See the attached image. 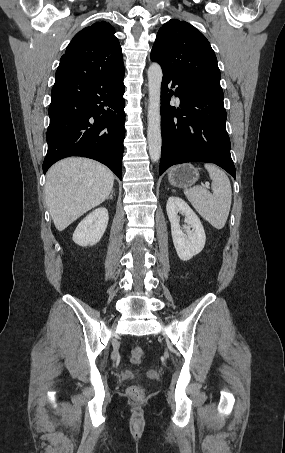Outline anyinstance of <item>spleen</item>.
Returning <instances> with one entry per match:
<instances>
[{
	"instance_id": "3e777b00",
	"label": "spleen",
	"mask_w": 285,
	"mask_h": 453,
	"mask_svg": "<svg viewBox=\"0 0 285 453\" xmlns=\"http://www.w3.org/2000/svg\"><path fill=\"white\" fill-rule=\"evenodd\" d=\"M204 166L212 180V193L205 187L194 186L185 189L184 194L200 216L220 230L225 226L231 208V184L223 170L213 164Z\"/></svg>"
}]
</instances>
